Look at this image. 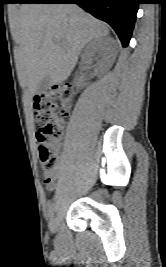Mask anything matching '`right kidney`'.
<instances>
[{
    "label": "right kidney",
    "instance_id": "1",
    "mask_svg": "<svg viewBox=\"0 0 166 267\" xmlns=\"http://www.w3.org/2000/svg\"><path fill=\"white\" fill-rule=\"evenodd\" d=\"M102 46V41L100 39H96L94 41H92L87 48L84 51V54L82 56V61L84 63L89 61V58L91 57L92 54H94L97 50H99ZM99 69L97 68L96 71H98ZM81 86H84L85 83L80 82Z\"/></svg>",
    "mask_w": 166,
    "mask_h": 267
}]
</instances>
